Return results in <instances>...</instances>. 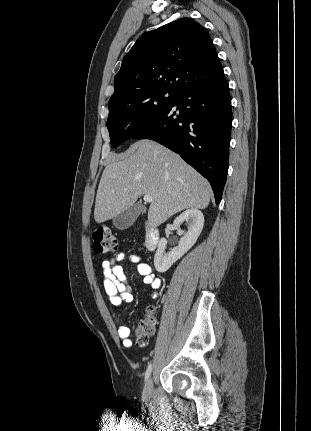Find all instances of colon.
I'll return each mask as SVG.
<instances>
[{
	"instance_id": "1",
	"label": "colon",
	"mask_w": 311,
	"mask_h": 431,
	"mask_svg": "<svg viewBox=\"0 0 311 431\" xmlns=\"http://www.w3.org/2000/svg\"><path fill=\"white\" fill-rule=\"evenodd\" d=\"M118 248V241L114 233L105 227L97 228L93 233V250L97 254L111 253ZM157 316L154 309H149L145 318L139 322L136 330L138 346H144L149 337L155 332Z\"/></svg>"
}]
</instances>
